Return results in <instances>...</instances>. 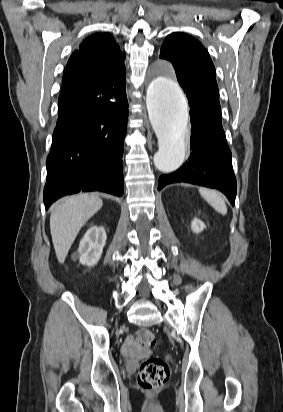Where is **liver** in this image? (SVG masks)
<instances>
[{"mask_svg": "<svg viewBox=\"0 0 283 412\" xmlns=\"http://www.w3.org/2000/svg\"><path fill=\"white\" fill-rule=\"evenodd\" d=\"M102 205V199L94 194H79L54 205L50 231L59 263H64L80 229Z\"/></svg>", "mask_w": 283, "mask_h": 412, "instance_id": "1", "label": "liver"}]
</instances>
